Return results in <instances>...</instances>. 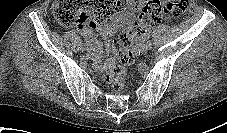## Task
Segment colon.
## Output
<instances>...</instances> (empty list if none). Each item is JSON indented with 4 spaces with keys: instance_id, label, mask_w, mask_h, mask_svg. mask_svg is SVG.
Segmentation results:
<instances>
[{
    "instance_id": "5ec220e1",
    "label": "colon",
    "mask_w": 227,
    "mask_h": 133,
    "mask_svg": "<svg viewBox=\"0 0 227 133\" xmlns=\"http://www.w3.org/2000/svg\"><path fill=\"white\" fill-rule=\"evenodd\" d=\"M129 0H55L52 12L61 26L78 24L92 27L96 22H104ZM188 0H147L141 7L138 21L130 31L115 40L113 48L119 64L110 66L102 75L107 87L119 91L124 87L126 67L134 61V44L140 34L150 28L162 16L177 17L188 8Z\"/></svg>"
}]
</instances>
